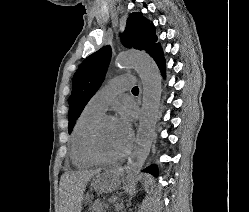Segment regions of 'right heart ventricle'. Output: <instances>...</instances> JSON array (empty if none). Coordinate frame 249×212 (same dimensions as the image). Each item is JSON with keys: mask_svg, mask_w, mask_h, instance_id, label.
Returning a JSON list of instances; mask_svg holds the SVG:
<instances>
[{"mask_svg": "<svg viewBox=\"0 0 249 212\" xmlns=\"http://www.w3.org/2000/svg\"><path fill=\"white\" fill-rule=\"evenodd\" d=\"M101 115L102 111L87 103L75 121L69 139V158L76 168L85 169L95 164L85 152L84 141L89 127Z\"/></svg>", "mask_w": 249, "mask_h": 212, "instance_id": "e07e8e85", "label": "right heart ventricle"}]
</instances>
